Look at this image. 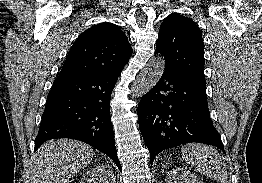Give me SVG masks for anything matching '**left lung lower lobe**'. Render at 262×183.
Returning <instances> with one entry per match:
<instances>
[{
	"instance_id": "0a47b994",
	"label": "left lung lower lobe",
	"mask_w": 262,
	"mask_h": 183,
	"mask_svg": "<svg viewBox=\"0 0 262 183\" xmlns=\"http://www.w3.org/2000/svg\"><path fill=\"white\" fill-rule=\"evenodd\" d=\"M137 114L151 165L162 150L190 142L225 152L210 118L206 85L182 73L165 67L157 84L142 96Z\"/></svg>"
}]
</instances>
